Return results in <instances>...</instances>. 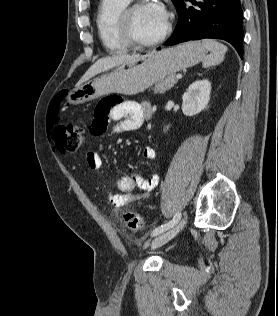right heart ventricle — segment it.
Segmentation results:
<instances>
[{
  "instance_id": "1",
  "label": "right heart ventricle",
  "mask_w": 278,
  "mask_h": 316,
  "mask_svg": "<svg viewBox=\"0 0 278 316\" xmlns=\"http://www.w3.org/2000/svg\"><path fill=\"white\" fill-rule=\"evenodd\" d=\"M131 0H101L96 26L104 48L111 53H123L129 49V44L123 37L120 27V17Z\"/></svg>"
}]
</instances>
